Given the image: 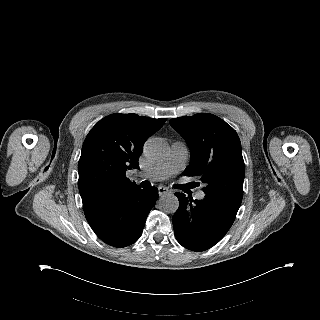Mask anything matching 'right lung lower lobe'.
Returning <instances> with one entry per match:
<instances>
[{
  "instance_id": "right-lung-lower-lobe-1",
  "label": "right lung lower lobe",
  "mask_w": 320,
  "mask_h": 320,
  "mask_svg": "<svg viewBox=\"0 0 320 320\" xmlns=\"http://www.w3.org/2000/svg\"><path fill=\"white\" fill-rule=\"evenodd\" d=\"M158 199V189L134 187L84 209L95 234L106 244L126 247L141 236L146 218Z\"/></svg>"
}]
</instances>
